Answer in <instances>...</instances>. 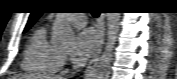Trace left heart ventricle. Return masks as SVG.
<instances>
[{
  "mask_svg": "<svg viewBox=\"0 0 177 79\" xmlns=\"http://www.w3.org/2000/svg\"><path fill=\"white\" fill-rule=\"evenodd\" d=\"M73 29H77V28H79V25H72L71 26ZM65 52H67L68 50H64Z\"/></svg>",
  "mask_w": 177,
  "mask_h": 79,
  "instance_id": "obj_1",
  "label": "left heart ventricle"
}]
</instances>
